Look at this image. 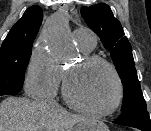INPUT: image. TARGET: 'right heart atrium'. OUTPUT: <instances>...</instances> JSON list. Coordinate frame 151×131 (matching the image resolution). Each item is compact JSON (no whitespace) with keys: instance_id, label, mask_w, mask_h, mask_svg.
Here are the masks:
<instances>
[{"instance_id":"1","label":"right heart atrium","mask_w":151,"mask_h":131,"mask_svg":"<svg viewBox=\"0 0 151 131\" xmlns=\"http://www.w3.org/2000/svg\"><path fill=\"white\" fill-rule=\"evenodd\" d=\"M62 75V69L53 57L47 51L35 48L26 69V92L37 99L51 98L58 90Z\"/></svg>"}]
</instances>
